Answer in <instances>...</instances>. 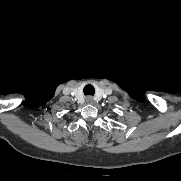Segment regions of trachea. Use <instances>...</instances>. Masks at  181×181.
<instances>
[{
  "label": "trachea",
  "instance_id": "3493384b",
  "mask_svg": "<svg viewBox=\"0 0 181 181\" xmlns=\"http://www.w3.org/2000/svg\"><path fill=\"white\" fill-rule=\"evenodd\" d=\"M83 92L85 95H91L92 96L95 93V89L91 84H88L84 87Z\"/></svg>",
  "mask_w": 181,
  "mask_h": 181
}]
</instances>
